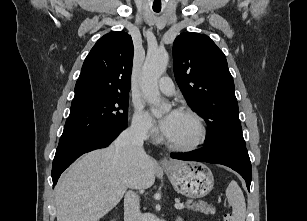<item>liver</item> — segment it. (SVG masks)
Listing matches in <instances>:
<instances>
[{
    "instance_id": "obj_1",
    "label": "liver",
    "mask_w": 307,
    "mask_h": 221,
    "mask_svg": "<svg viewBox=\"0 0 307 221\" xmlns=\"http://www.w3.org/2000/svg\"><path fill=\"white\" fill-rule=\"evenodd\" d=\"M157 165L136 160L115 143L82 156L56 186L57 221H98L122 199L127 188L147 189Z\"/></svg>"
}]
</instances>
